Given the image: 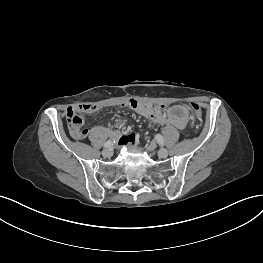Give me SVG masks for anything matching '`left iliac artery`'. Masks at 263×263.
Instances as JSON below:
<instances>
[{
  "instance_id": "obj_1",
  "label": "left iliac artery",
  "mask_w": 263,
  "mask_h": 263,
  "mask_svg": "<svg viewBox=\"0 0 263 263\" xmlns=\"http://www.w3.org/2000/svg\"><path fill=\"white\" fill-rule=\"evenodd\" d=\"M155 138H156L157 142L159 143V145H161V146L164 145V139L161 135L157 134Z\"/></svg>"
}]
</instances>
